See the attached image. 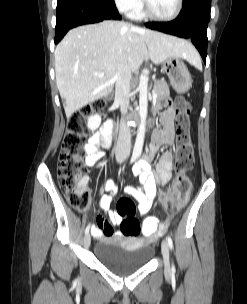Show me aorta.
<instances>
[{
  "label": "aorta",
  "mask_w": 247,
  "mask_h": 304,
  "mask_svg": "<svg viewBox=\"0 0 247 304\" xmlns=\"http://www.w3.org/2000/svg\"><path fill=\"white\" fill-rule=\"evenodd\" d=\"M138 89H139L140 125L137 132L134 150L141 152L144 143V137H145L146 117H147V107H148V75L145 71H143L140 75Z\"/></svg>",
  "instance_id": "aorta-1"
}]
</instances>
